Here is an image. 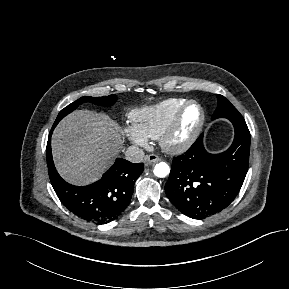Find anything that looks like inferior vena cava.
I'll use <instances>...</instances> for the list:
<instances>
[{"instance_id":"602c4592","label":"inferior vena cava","mask_w":289,"mask_h":289,"mask_svg":"<svg viewBox=\"0 0 289 289\" xmlns=\"http://www.w3.org/2000/svg\"><path fill=\"white\" fill-rule=\"evenodd\" d=\"M125 159L131 163H139L144 159V151L136 146H130L124 152Z\"/></svg>"}]
</instances>
